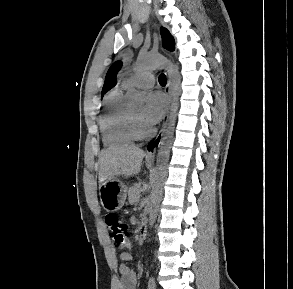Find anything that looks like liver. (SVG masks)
I'll return each instance as SVG.
<instances>
[{
	"instance_id": "6515ba94",
	"label": "liver",
	"mask_w": 293,
	"mask_h": 289,
	"mask_svg": "<svg viewBox=\"0 0 293 289\" xmlns=\"http://www.w3.org/2000/svg\"><path fill=\"white\" fill-rule=\"evenodd\" d=\"M145 152L129 145L111 146L101 153L99 183L111 180L117 175L134 176L140 172Z\"/></svg>"
}]
</instances>
